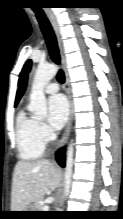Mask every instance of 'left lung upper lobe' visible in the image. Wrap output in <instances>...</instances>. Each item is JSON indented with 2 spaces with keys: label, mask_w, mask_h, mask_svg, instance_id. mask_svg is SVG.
<instances>
[{
  "label": "left lung upper lobe",
  "mask_w": 123,
  "mask_h": 219,
  "mask_svg": "<svg viewBox=\"0 0 123 219\" xmlns=\"http://www.w3.org/2000/svg\"><path fill=\"white\" fill-rule=\"evenodd\" d=\"M30 68H31V60H28V61L26 62V64L24 65V68H23V70H22V72H21V74H20L19 83H20L22 77L24 76V74L27 73V72H29Z\"/></svg>",
  "instance_id": "obj_1"
}]
</instances>
